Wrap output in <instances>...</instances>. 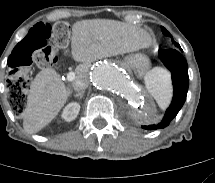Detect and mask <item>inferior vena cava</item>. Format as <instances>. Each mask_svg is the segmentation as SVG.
Instances as JSON below:
<instances>
[{"instance_id": "obj_1", "label": "inferior vena cava", "mask_w": 215, "mask_h": 183, "mask_svg": "<svg viewBox=\"0 0 215 183\" xmlns=\"http://www.w3.org/2000/svg\"><path fill=\"white\" fill-rule=\"evenodd\" d=\"M88 85H89V79L87 76H82L73 82V88L77 92H81L85 90L88 87Z\"/></svg>"}]
</instances>
